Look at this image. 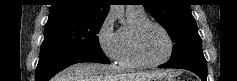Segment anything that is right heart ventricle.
<instances>
[{"label":"right heart ventricle","mask_w":237,"mask_h":81,"mask_svg":"<svg viewBox=\"0 0 237 81\" xmlns=\"http://www.w3.org/2000/svg\"><path fill=\"white\" fill-rule=\"evenodd\" d=\"M127 17L129 26L118 30L119 54L117 61L119 65L123 67L137 68L140 67V64L136 61L132 53L130 41L131 31L136 25L147 21L148 18L145 12H137L132 10L127 11Z\"/></svg>","instance_id":"1"}]
</instances>
